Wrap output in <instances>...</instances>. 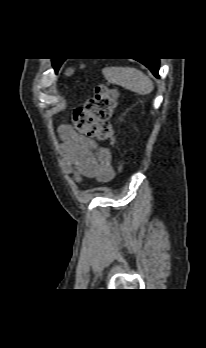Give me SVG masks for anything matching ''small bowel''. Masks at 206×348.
I'll list each match as a JSON object with an SVG mask.
<instances>
[{
	"label": "small bowel",
	"mask_w": 206,
	"mask_h": 348,
	"mask_svg": "<svg viewBox=\"0 0 206 348\" xmlns=\"http://www.w3.org/2000/svg\"><path fill=\"white\" fill-rule=\"evenodd\" d=\"M62 137V154L67 170L77 179L95 178L108 182L114 176L110 150L79 135L69 125L59 127Z\"/></svg>",
	"instance_id": "small-bowel-1"
}]
</instances>
